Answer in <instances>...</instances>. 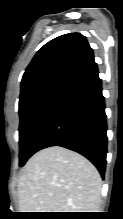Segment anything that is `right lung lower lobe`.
<instances>
[{
  "instance_id": "right-lung-lower-lobe-1",
  "label": "right lung lower lobe",
  "mask_w": 123,
  "mask_h": 219,
  "mask_svg": "<svg viewBox=\"0 0 123 219\" xmlns=\"http://www.w3.org/2000/svg\"><path fill=\"white\" fill-rule=\"evenodd\" d=\"M97 65L69 80L38 134L33 152L51 146L76 151L104 176L107 123L102 82Z\"/></svg>"
}]
</instances>
